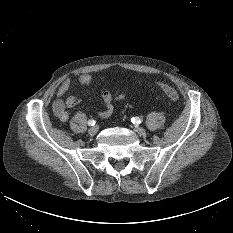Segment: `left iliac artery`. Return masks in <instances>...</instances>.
<instances>
[{"label":"left iliac artery","instance_id":"left-iliac-artery-1","mask_svg":"<svg viewBox=\"0 0 233 233\" xmlns=\"http://www.w3.org/2000/svg\"><path fill=\"white\" fill-rule=\"evenodd\" d=\"M131 120L134 124H140L142 122V119H140L139 117H133Z\"/></svg>","mask_w":233,"mask_h":233}]
</instances>
